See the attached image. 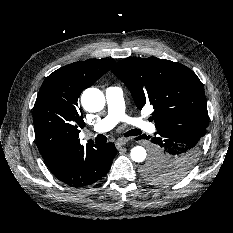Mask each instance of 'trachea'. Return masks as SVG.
<instances>
[{"instance_id":"1","label":"trachea","mask_w":233,"mask_h":233,"mask_svg":"<svg viewBox=\"0 0 233 233\" xmlns=\"http://www.w3.org/2000/svg\"><path fill=\"white\" fill-rule=\"evenodd\" d=\"M140 134H141L140 130H138V129H132V130L128 131L125 134V137L137 136V135H140ZM106 141H107V138L103 134H98L97 137L95 138V142L96 143H105Z\"/></svg>"}]
</instances>
